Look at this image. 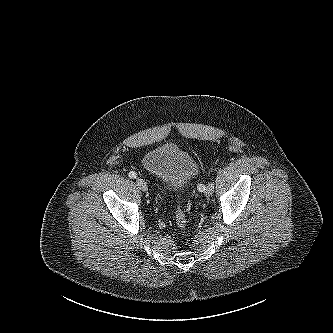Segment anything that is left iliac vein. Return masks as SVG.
<instances>
[{"instance_id":"left-iliac-vein-1","label":"left iliac vein","mask_w":333,"mask_h":333,"mask_svg":"<svg viewBox=\"0 0 333 333\" xmlns=\"http://www.w3.org/2000/svg\"><path fill=\"white\" fill-rule=\"evenodd\" d=\"M213 191H214L213 184L210 183V184L206 187L204 193H205L206 196H211V195L213 194Z\"/></svg>"}]
</instances>
